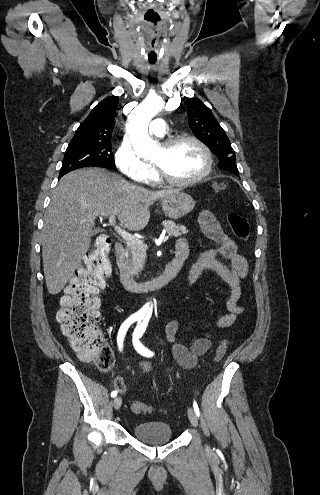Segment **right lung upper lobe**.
<instances>
[{"instance_id": "cb5924a9", "label": "right lung upper lobe", "mask_w": 320, "mask_h": 495, "mask_svg": "<svg viewBox=\"0 0 320 495\" xmlns=\"http://www.w3.org/2000/svg\"><path fill=\"white\" fill-rule=\"evenodd\" d=\"M117 96H109L98 103L80 124L70 143H111Z\"/></svg>"}]
</instances>
